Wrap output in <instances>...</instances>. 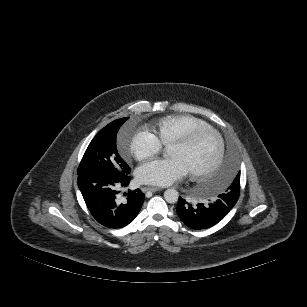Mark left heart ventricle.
Returning a JSON list of instances; mask_svg holds the SVG:
<instances>
[{"label":"left heart ventricle","mask_w":307,"mask_h":307,"mask_svg":"<svg viewBox=\"0 0 307 307\" xmlns=\"http://www.w3.org/2000/svg\"><path fill=\"white\" fill-rule=\"evenodd\" d=\"M217 149V139L205 134L189 146H170L168 154L180 158L189 170H200L213 164Z\"/></svg>","instance_id":"1"}]
</instances>
